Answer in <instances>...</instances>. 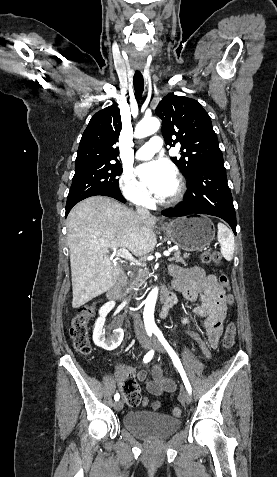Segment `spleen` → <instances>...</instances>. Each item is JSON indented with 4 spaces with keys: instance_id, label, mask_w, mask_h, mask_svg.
Wrapping results in <instances>:
<instances>
[{
    "instance_id": "1",
    "label": "spleen",
    "mask_w": 277,
    "mask_h": 477,
    "mask_svg": "<svg viewBox=\"0 0 277 477\" xmlns=\"http://www.w3.org/2000/svg\"><path fill=\"white\" fill-rule=\"evenodd\" d=\"M217 239L221 246V254L227 260L233 259L235 242L234 235L227 226L222 223H218Z\"/></svg>"
}]
</instances>
